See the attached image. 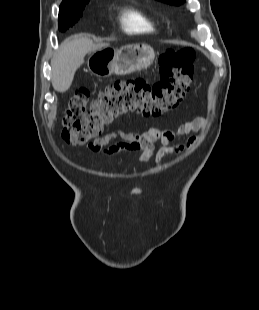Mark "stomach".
I'll list each match as a JSON object with an SVG mask.
<instances>
[{"mask_svg": "<svg viewBox=\"0 0 259 310\" xmlns=\"http://www.w3.org/2000/svg\"><path fill=\"white\" fill-rule=\"evenodd\" d=\"M155 59L153 48L147 44H131L115 50L105 46L92 51L87 65L89 70L99 77L112 74L127 75L149 67Z\"/></svg>", "mask_w": 259, "mask_h": 310, "instance_id": "0dacf381", "label": "stomach"}]
</instances>
